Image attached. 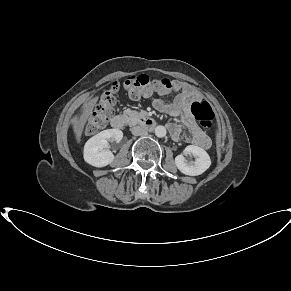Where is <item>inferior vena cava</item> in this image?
Masks as SVG:
<instances>
[{
  "label": "inferior vena cava",
  "instance_id": "1",
  "mask_svg": "<svg viewBox=\"0 0 291 291\" xmlns=\"http://www.w3.org/2000/svg\"><path fill=\"white\" fill-rule=\"evenodd\" d=\"M131 132L135 136H142V135H146L148 130L147 128L143 126H134L131 128Z\"/></svg>",
  "mask_w": 291,
  "mask_h": 291
}]
</instances>
